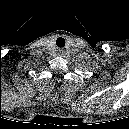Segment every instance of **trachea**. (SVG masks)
Segmentation results:
<instances>
[{"label":"trachea","mask_w":129,"mask_h":129,"mask_svg":"<svg viewBox=\"0 0 129 129\" xmlns=\"http://www.w3.org/2000/svg\"><path fill=\"white\" fill-rule=\"evenodd\" d=\"M56 45L58 47H64L65 46V39L62 37L57 38Z\"/></svg>","instance_id":"obj_1"}]
</instances>
